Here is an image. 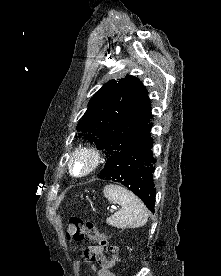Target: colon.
I'll return each mask as SVG.
<instances>
[{
	"label": "colon",
	"instance_id": "colon-1",
	"mask_svg": "<svg viewBox=\"0 0 221 276\" xmlns=\"http://www.w3.org/2000/svg\"><path fill=\"white\" fill-rule=\"evenodd\" d=\"M66 236L68 240L73 241H95L98 243L97 246L101 248L107 245V238L98 231L94 223L84 221L78 217H72L69 219V223L66 230ZM111 249L113 256L107 263V267L110 269L117 262H119L117 250L115 248Z\"/></svg>",
	"mask_w": 221,
	"mask_h": 276
}]
</instances>
